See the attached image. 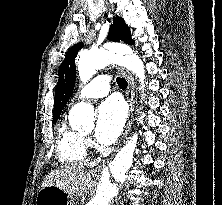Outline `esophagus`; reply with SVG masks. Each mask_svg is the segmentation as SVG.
<instances>
[{"mask_svg":"<svg viewBox=\"0 0 222 205\" xmlns=\"http://www.w3.org/2000/svg\"><path fill=\"white\" fill-rule=\"evenodd\" d=\"M120 72L122 73V75L126 78L127 83H128V87H127V100L129 103V114H128V118H127V123L124 129V133H123V141L125 140V138L128 135V132L130 130L131 124H132V117H133V110H134V82L133 79L131 77V75L123 68H119ZM105 164H103L101 166L104 167Z\"/></svg>","mask_w":222,"mask_h":205,"instance_id":"34e87169","label":"esophagus"}]
</instances>
